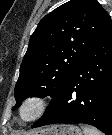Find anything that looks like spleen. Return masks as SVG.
<instances>
[{"label":"spleen","mask_w":112,"mask_h":135,"mask_svg":"<svg viewBox=\"0 0 112 135\" xmlns=\"http://www.w3.org/2000/svg\"><path fill=\"white\" fill-rule=\"evenodd\" d=\"M84 135H103L101 132L90 126L83 127Z\"/></svg>","instance_id":"3e777b00"}]
</instances>
